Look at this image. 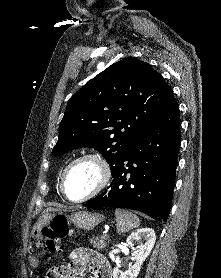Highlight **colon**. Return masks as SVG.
I'll return each mask as SVG.
<instances>
[{"label":"colon","mask_w":221,"mask_h":278,"mask_svg":"<svg viewBox=\"0 0 221 278\" xmlns=\"http://www.w3.org/2000/svg\"><path fill=\"white\" fill-rule=\"evenodd\" d=\"M70 233L68 222L63 216H56L49 226L43 228L42 237L38 242L47 256L58 254L62 251L60 240ZM62 274L59 267H54L49 272V278H58Z\"/></svg>","instance_id":"colon-1"}]
</instances>
